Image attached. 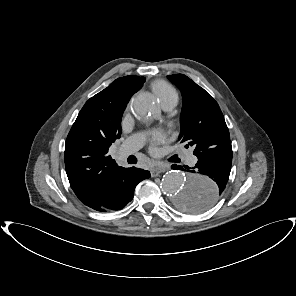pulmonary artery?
Listing matches in <instances>:
<instances>
[{"mask_svg": "<svg viewBox=\"0 0 296 296\" xmlns=\"http://www.w3.org/2000/svg\"><path fill=\"white\" fill-rule=\"evenodd\" d=\"M176 105V102H171L163 106L164 110L169 111ZM144 144V136L142 134H134L128 137L120 146L118 154L120 158H124L139 150ZM186 163L190 166L197 163V157L189 152L186 155Z\"/></svg>", "mask_w": 296, "mask_h": 296, "instance_id": "e3ab8cb5", "label": "pulmonary artery"}]
</instances>
